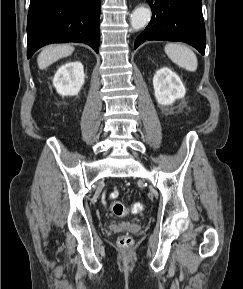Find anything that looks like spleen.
I'll list each match as a JSON object with an SVG mask.
<instances>
[{"instance_id":"3e777b00","label":"spleen","mask_w":243,"mask_h":289,"mask_svg":"<svg viewBox=\"0 0 243 289\" xmlns=\"http://www.w3.org/2000/svg\"><path fill=\"white\" fill-rule=\"evenodd\" d=\"M168 57L179 67L194 72L197 69L198 61L195 53L185 45L168 43L164 47Z\"/></svg>"}]
</instances>
